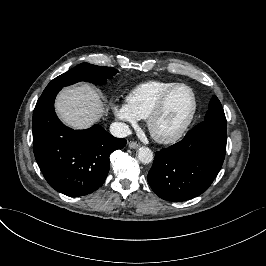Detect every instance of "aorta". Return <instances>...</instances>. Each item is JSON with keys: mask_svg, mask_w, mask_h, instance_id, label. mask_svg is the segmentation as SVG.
Wrapping results in <instances>:
<instances>
[{"mask_svg": "<svg viewBox=\"0 0 266 266\" xmlns=\"http://www.w3.org/2000/svg\"><path fill=\"white\" fill-rule=\"evenodd\" d=\"M138 159L143 164L151 163L154 159L153 152L147 147H142L137 152Z\"/></svg>", "mask_w": 266, "mask_h": 266, "instance_id": "1", "label": "aorta"}]
</instances>
